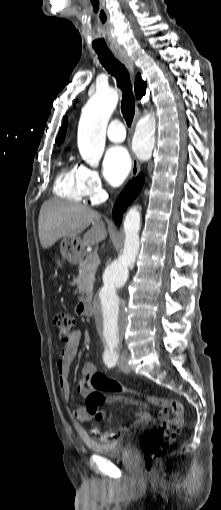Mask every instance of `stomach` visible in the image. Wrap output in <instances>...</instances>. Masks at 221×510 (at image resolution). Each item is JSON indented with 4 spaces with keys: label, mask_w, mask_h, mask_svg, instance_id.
<instances>
[{
    "label": "stomach",
    "mask_w": 221,
    "mask_h": 510,
    "mask_svg": "<svg viewBox=\"0 0 221 510\" xmlns=\"http://www.w3.org/2000/svg\"><path fill=\"white\" fill-rule=\"evenodd\" d=\"M60 252L64 259L70 262H77L83 256V247L78 237H65L60 245ZM61 265L60 262H58Z\"/></svg>",
    "instance_id": "1"
}]
</instances>
